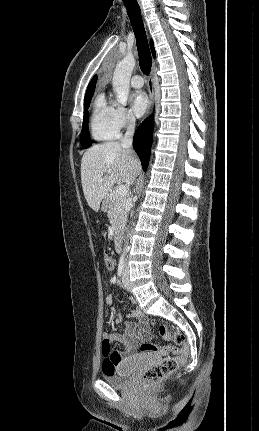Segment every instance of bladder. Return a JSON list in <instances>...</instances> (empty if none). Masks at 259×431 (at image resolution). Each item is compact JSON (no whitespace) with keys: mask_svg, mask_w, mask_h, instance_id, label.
<instances>
[{"mask_svg":"<svg viewBox=\"0 0 259 431\" xmlns=\"http://www.w3.org/2000/svg\"><path fill=\"white\" fill-rule=\"evenodd\" d=\"M138 368L135 361L124 363L112 372H104L102 378L112 386L121 387L127 384Z\"/></svg>","mask_w":259,"mask_h":431,"instance_id":"bladder-1","label":"bladder"}]
</instances>
